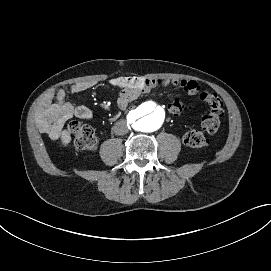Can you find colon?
Instances as JSON below:
<instances>
[{"label": "colon", "instance_id": "colon-1", "mask_svg": "<svg viewBox=\"0 0 271 271\" xmlns=\"http://www.w3.org/2000/svg\"><path fill=\"white\" fill-rule=\"evenodd\" d=\"M207 107L208 112L202 118L200 128L187 131L184 135V143L193 148H202L210 142L205 133H214L220 127L221 119L224 114V107L221 98L209 90H203L199 95ZM169 111L173 114L180 113L187 107L179 100L174 99L168 105ZM70 143L80 151H95L97 148V137L94 130L80 122L73 121L69 124Z\"/></svg>", "mask_w": 271, "mask_h": 271}]
</instances>
